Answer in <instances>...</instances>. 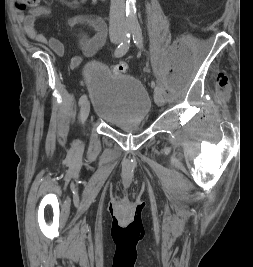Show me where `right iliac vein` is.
<instances>
[{
    "instance_id": "obj_1",
    "label": "right iliac vein",
    "mask_w": 253,
    "mask_h": 267,
    "mask_svg": "<svg viewBox=\"0 0 253 267\" xmlns=\"http://www.w3.org/2000/svg\"><path fill=\"white\" fill-rule=\"evenodd\" d=\"M111 41L113 43H119L122 41V37L121 36H116L114 38L111 39ZM89 112H90V103L88 100H86L83 105L81 106V109H80V113H79V116H80V120L82 123H84L89 115Z\"/></svg>"
}]
</instances>
